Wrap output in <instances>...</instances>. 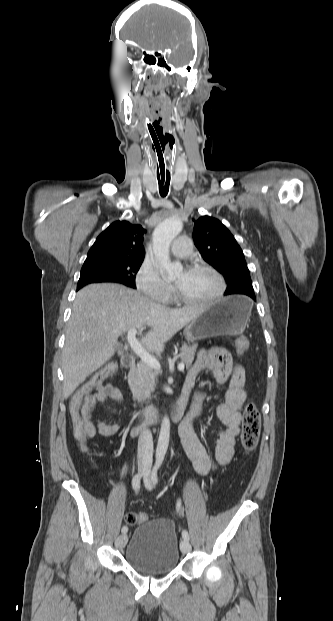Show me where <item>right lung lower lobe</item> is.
<instances>
[{"label":"right lung lower lobe","mask_w":333,"mask_h":621,"mask_svg":"<svg viewBox=\"0 0 333 621\" xmlns=\"http://www.w3.org/2000/svg\"><path fill=\"white\" fill-rule=\"evenodd\" d=\"M80 288H82V287H77V290H79Z\"/></svg>","instance_id":"obj_1"}]
</instances>
